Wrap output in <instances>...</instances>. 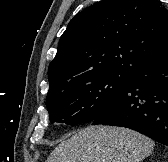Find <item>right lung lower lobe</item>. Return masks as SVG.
I'll use <instances>...</instances> for the list:
<instances>
[{
  "instance_id": "right-lung-lower-lobe-1",
  "label": "right lung lower lobe",
  "mask_w": 168,
  "mask_h": 162,
  "mask_svg": "<svg viewBox=\"0 0 168 162\" xmlns=\"http://www.w3.org/2000/svg\"><path fill=\"white\" fill-rule=\"evenodd\" d=\"M92 123L130 128L168 146V58L130 75Z\"/></svg>"
}]
</instances>
